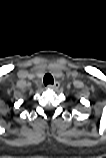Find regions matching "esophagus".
Segmentation results:
<instances>
[{"instance_id":"esophagus-1","label":"esophagus","mask_w":106,"mask_h":158,"mask_svg":"<svg viewBox=\"0 0 106 158\" xmlns=\"http://www.w3.org/2000/svg\"><path fill=\"white\" fill-rule=\"evenodd\" d=\"M59 87V83L56 81L54 82L53 84H49L48 85V88H51V89H56Z\"/></svg>"}]
</instances>
